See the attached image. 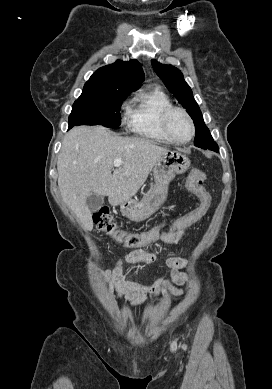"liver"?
<instances>
[{
    "label": "liver",
    "mask_w": 272,
    "mask_h": 389,
    "mask_svg": "<svg viewBox=\"0 0 272 389\" xmlns=\"http://www.w3.org/2000/svg\"><path fill=\"white\" fill-rule=\"evenodd\" d=\"M168 151L147 139L121 137L102 126L74 127L65 135L58 155L62 199L84 229L91 230L87 196L92 192L108 196L112 206L122 204L138 192ZM116 159L122 164L114 170Z\"/></svg>",
    "instance_id": "6515ba94"
}]
</instances>
